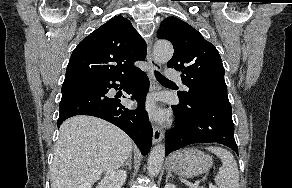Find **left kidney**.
I'll list each match as a JSON object with an SVG mask.
<instances>
[{
  "label": "left kidney",
  "mask_w": 292,
  "mask_h": 188,
  "mask_svg": "<svg viewBox=\"0 0 292 188\" xmlns=\"http://www.w3.org/2000/svg\"><path fill=\"white\" fill-rule=\"evenodd\" d=\"M164 188H176V186L172 183H167Z\"/></svg>",
  "instance_id": "left-kidney-1"
}]
</instances>
